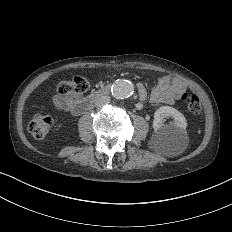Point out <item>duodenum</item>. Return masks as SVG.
<instances>
[{"label": "duodenum", "instance_id": "1", "mask_svg": "<svg viewBox=\"0 0 232 232\" xmlns=\"http://www.w3.org/2000/svg\"><path fill=\"white\" fill-rule=\"evenodd\" d=\"M111 86L106 85L97 89L96 91L92 92L89 96L84 99H81L73 108L72 113L74 115H79L87 111L93 103L98 100L99 98L106 96L110 93Z\"/></svg>", "mask_w": 232, "mask_h": 232}]
</instances>
